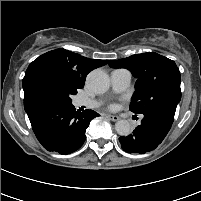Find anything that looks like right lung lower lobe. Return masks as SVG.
Listing matches in <instances>:
<instances>
[{
	"instance_id": "98d812e1",
	"label": "right lung lower lobe",
	"mask_w": 201,
	"mask_h": 201,
	"mask_svg": "<svg viewBox=\"0 0 201 201\" xmlns=\"http://www.w3.org/2000/svg\"><path fill=\"white\" fill-rule=\"evenodd\" d=\"M24 108L42 146L60 154L78 150L86 139L90 121L99 116L93 110L79 113L72 103L37 93L24 99Z\"/></svg>"
}]
</instances>
